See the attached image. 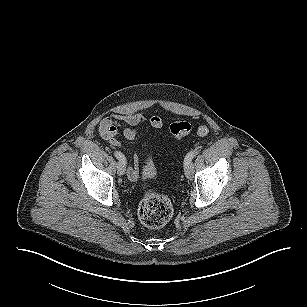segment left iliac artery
Wrapping results in <instances>:
<instances>
[{"mask_svg": "<svg viewBox=\"0 0 307 307\" xmlns=\"http://www.w3.org/2000/svg\"><path fill=\"white\" fill-rule=\"evenodd\" d=\"M195 152L194 151H190L189 153H187V155L185 156V159H184V164L187 165L189 164L192 159L194 158L195 156Z\"/></svg>", "mask_w": 307, "mask_h": 307, "instance_id": "1", "label": "left iliac artery"}]
</instances>
